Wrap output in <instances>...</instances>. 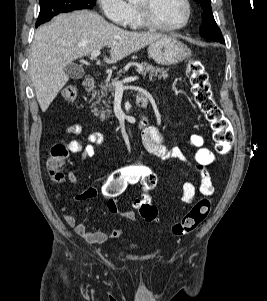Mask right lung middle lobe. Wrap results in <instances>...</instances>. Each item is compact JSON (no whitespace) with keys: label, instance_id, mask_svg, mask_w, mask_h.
Segmentation results:
<instances>
[{"label":"right lung middle lobe","instance_id":"right-lung-middle-lobe-1","mask_svg":"<svg viewBox=\"0 0 267 301\" xmlns=\"http://www.w3.org/2000/svg\"><path fill=\"white\" fill-rule=\"evenodd\" d=\"M96 0H40V13L36 26L49 21L59 13L80 9H92Z\"/></svg>","mask_w":267,"mask_h":301}]
</instances>
